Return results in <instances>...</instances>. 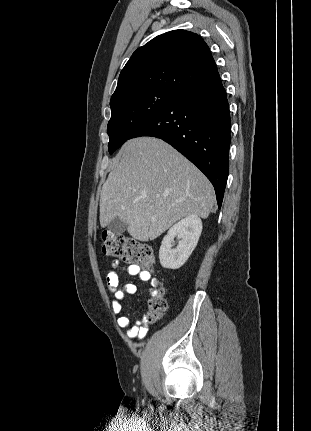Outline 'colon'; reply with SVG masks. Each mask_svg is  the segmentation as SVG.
<instances>
[{
	"label": "colon",
	"mask_w": 311,
	"mask_h": 431,
	"mask_svg": "<svg viewBox=\"0 0 311 431\" xmlns=\"http://www.w3.org/2000/svg\"><path fill=\"white\" fill-rule=\"evenodd\" d=\"M102 251L104 254L120 259L146 270H153L155 258L152 248L135 239L124 237L113 232L102 234ZM167 308L166 293L160 288L147 304L145 320L149 324L157 322Z\"/></svg>",
	"instance_id": "colon-1"
}]
</instances>
